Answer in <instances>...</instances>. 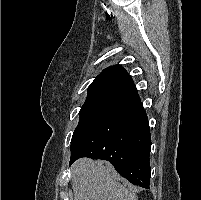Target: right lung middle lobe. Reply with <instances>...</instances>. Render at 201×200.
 <instances>
[{
  "label": "right lung middle lobe",
  "instance_id": "dd1d6c3e",
  "mask_svg": "<svg viewBox=\"0 0 201 200\" xmlns=\"http://www.w3.org/2000/svg\"><path fill=\"white\" fill-rule=\"evenodd\" d=\"M131 99L110 92L88 93L87 98L79 112V123L73 133L71 141L86 128L115 110L128 104Z\"/></svg>",
  "mask_w": 201,
  "mask_h": 200
}]
</instances>
